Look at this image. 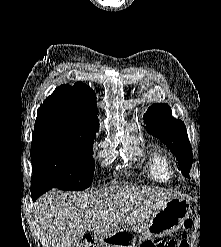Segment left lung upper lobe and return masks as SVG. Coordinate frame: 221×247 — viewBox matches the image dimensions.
<instances>
[{"instance_id": "obj_1", "label": "left lung upper lobe", "mask_w": 221, "mask_h": 247, "mask_svg": "<svg viewBox=\"0 0 221 247\" xmlns=\"http://www.w3.org/2000/svg\"><path fill=\"white\" fill-rule=\"evenodd\" d=\"M144 121L147 131L176 155L182 174L189 177L193 155L184 123L172 117L171 108L165 103L152 104L144 114Z\"/></svg>"}]
</instances>
